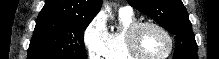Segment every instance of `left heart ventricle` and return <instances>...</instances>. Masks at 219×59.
<instances>
[{"mask_svg":"<svg viewBox=\"0 0 219 59\" xmlns=\"http://www.w3.org/2000/svg\"><path fill=\"white\" fill-rule=\"evenodd\" d=\"M138 44L141 52L148 57H161L169 48L167 38L153 27H145L141 30Z\"/></svg>","mask_w":219,"mask_h":59,"instance_id":"left-heart-ventricle-1","label":"left heart ventricle"}]
</instances>
